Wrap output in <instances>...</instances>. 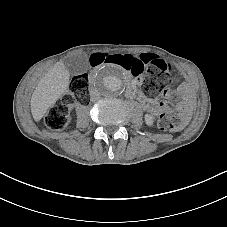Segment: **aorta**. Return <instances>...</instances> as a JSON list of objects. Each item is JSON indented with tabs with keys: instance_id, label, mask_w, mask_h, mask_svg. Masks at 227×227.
Returning a JSON list of instances; mask_svg holds the SVG:
<instances>
[{
	"instance_id": "762f6f07",
	"label": "aorta",
	"mask_w": 227,
	"mask_h": 227,
	"mask_svg": "<svg viewBox=\"0 0 227 227\" xmlns=\"http://www.w3.org/2000/svg\"><path fill=\"white\" fill-rule=\"evenodd\" d=\"M124 76L119 68L108 65L101 68L95 76L94 88L105 97L120 94L124 89Z\"/></svg>"
}]
</instances>
